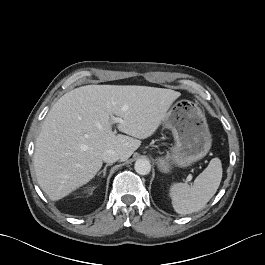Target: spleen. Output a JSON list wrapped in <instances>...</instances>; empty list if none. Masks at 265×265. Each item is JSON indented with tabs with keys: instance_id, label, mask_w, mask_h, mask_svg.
<instances>
[{
	"instance_id": "3e777b00",
	"label": "spleen",
	"mask_w": 265,
	"mask_h": 265,
	"mask_svg": "<svg viewBox=\"0 0 265 265\" xmlns=\"http://www.w3.org/2000/svg\"><path fill=\"white\" fill-rule=\"evenodd\" d=\"M222 164L213 158L194 180L193 185L174 183L169 190L174 210L179 214L198 212L216 193L222 179Z\"/></svg>"
}]
</instances>
